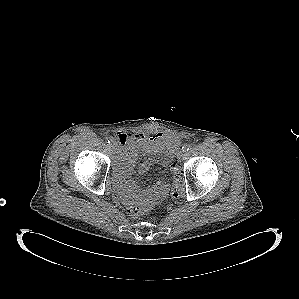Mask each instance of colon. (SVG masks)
Here are the masks:
<instances>
[{"label": "colon", "instance_id": "1", "mask_svg": "<svg viewBox=\"0 0 299 299\" xmlns=\"http://www.w3.org/2000/svg\"><path fill=\"white\" fill-rule=\"evenodd\" d=\"M170 171L173 174V186L171 189L172 198H178L181 195L183 182L180 169L176 163L170 165ZM128 214L131 217H140L144 214V209L139 205H131L128 207Z\"/></svg>", "mask_w": 299, "mask_h": 299}]
</instances>
